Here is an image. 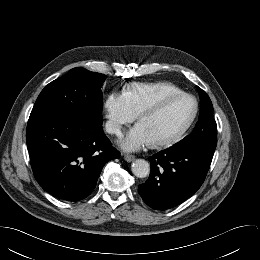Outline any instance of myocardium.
<instances>
[{"label": "myocardium", "mask_w": 260, "mask_h": 260, "mask_svg": "<svg viewBox=\"0 0 260 260\" xmlns=\"http://www.w3.org/2000/svg\"><path fill=\"white\" fill-rule=\"evenodd\" d=\"M176 97H187V98L191 99L192 102H193L192 111H191L189 117L187 118V120L185 121V123L176 132H174L173 134H171V135H169L165 138H162V139H159V140H154L153 144L155 146L162 147V146H167V145L173 144L184 136V134L192 126V124L195 121L196 116L198 114L199 106H198L197 99L192 94L184 92V91H177V92L168 93V94H165V95L161 96L160 98H158L150 106L146 107L145 109H143L138 114V121L140 122L145 117L150 116V115L158 112L159 109L167 101H169L173 98H176Z\"/></svg>", "instance_id": "myocardium-1"}]
</instances>
